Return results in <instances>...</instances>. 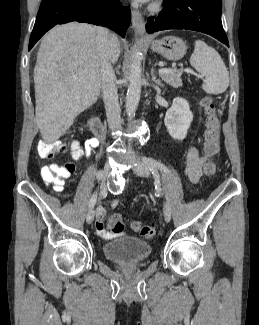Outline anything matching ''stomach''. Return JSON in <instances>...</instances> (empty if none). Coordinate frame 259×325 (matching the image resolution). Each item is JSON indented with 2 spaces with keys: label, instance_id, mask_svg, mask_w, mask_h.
<instances>
[{
  "label": "stomach",
  "instance_id": "1",
  "mask_svg": "<svg viewBox=\"0 0 259 325\" xmlns=\"http://www.w3.org/2000/svg\"><path fill=\"white\" fill-rule=\"evenodd\" d=\"M149 45L153 52L160 54L169 61L182 59L187 50L185 42L175 36H166L159 40H153Z\"/></svg>",
  "mask_w": 259,
  "mask_h": 325
}]
</instances>
